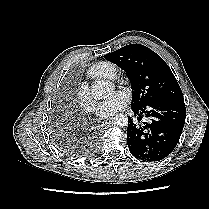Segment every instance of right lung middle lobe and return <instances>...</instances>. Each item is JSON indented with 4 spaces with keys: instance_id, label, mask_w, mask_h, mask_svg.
Instances as JSON below:
<instances>
[{
    "instance_id": "1",
    "label": "right lung middle lobe",
    "mask_w": 209,
    "mask_h": 209,
    "mask_svg": "<svg viewBox=\"0 0 209 209\" xmlns=\"http://www.w3.org/2000/svg\"><path fill=\"white\" fill-rule=\"evenodd\" d=\"M57 146L58 148L64 152L65 154L71 155V156H77L79 155L81 152L76 148V146L70 144L69 142H66L62 139H57Z\"/></svg>"
}]
</instances>
